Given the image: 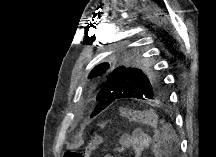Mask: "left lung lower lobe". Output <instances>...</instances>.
<instances>
[{"mask_svg":"<svg viewBox=\"0 0 216 157\" xmlns=\"http://www.w3.org/2000/svg\"><path fill=\"white\" fill-rule=\"evenodd\" d=\"M113 103V102H112ZM110 104L109 102H103L102 104H98L95 108V110L93 111L91 117L99 114L102 110H104L106 107H108Z\"/></svg>","mask_w":216,"mask_h":157,"instance_id":"obj_1","label":"left lung lower lobe"}]
</instances>
